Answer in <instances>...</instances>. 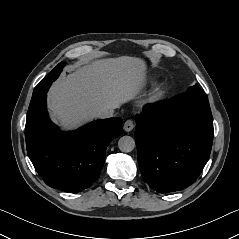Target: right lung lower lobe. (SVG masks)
<instances>
[{
  "instance_id": "1",
  "label": "right lung lower lobe",
  "mask_w": 239,
  "mask_h": 239,
  "mask_svg": "<svg viewBox=\"0 0 239 239\" xmlns=\"http://www.w3.org/2000/svg\"><path fill=\"white\" fill-rule=\"evenodd\" d=\"M51 83L33 92L25 126L27 153L48 186L80 192L99 178L107 146L122 134V119H101L73 132L60 131L46 110Z\"/></svg>"
}]
</instances>
